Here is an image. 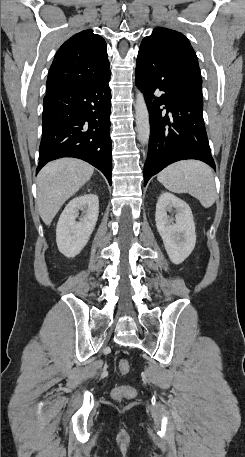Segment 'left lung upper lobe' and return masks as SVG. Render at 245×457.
<instances>
[{
  "label": "left lung upper lobe",
  "mask_w": 245,
  "mask_h": 457,
  "mask_svg": "<svg viewBox=\"0 0 245 457\" xmlns=\"http://www.w3.org/2000/svg\"><path fill=\"white\" fill-rule=\"evenodd\" d=\"M139 51H165L169 53L184 74L202 91V79L197 56L189 40L182 33L163 27L155 28L152 35L143 39Z\"/></svg>",
  "instance_id": "1"
}]
</instances>
